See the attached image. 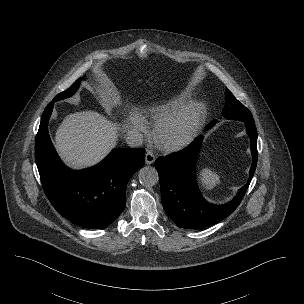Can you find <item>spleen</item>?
<instances>
[{"instance_id":"spleen-1","label":"spleen","mask_w":304,"mask_h":304,"mask_svg":"<svg viewBox=\"0 0 304 304\" xmlns=\"http://www.w3.org/2000/svg\"><path fill=\"white\" fill-rule=\"evenodd\" d=\"M199 183L204 190H211L220 184L219 176L212 173L209 169H202L199 172Z\"/></svg>"}]
</instances>
